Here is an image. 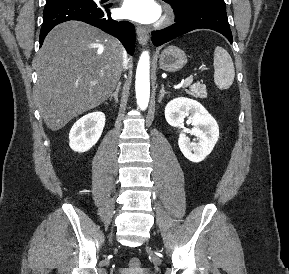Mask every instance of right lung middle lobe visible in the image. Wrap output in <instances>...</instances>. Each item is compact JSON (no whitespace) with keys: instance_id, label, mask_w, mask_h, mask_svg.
Here are the masks:
<instances>
[{"instance_id":"dd1d6c3e","label":"right lung middle lobe","mask_w":289,"mask_h":274,"mask_svg":"<svg viewBox=\"0 0 289 274\" xmlns=\"http://www.w3.org/2000/svg\"><path fill=\"white\" fill-rule=\"evenodd\" d=\"M66 1H80V0H47L46 5H52L56 3L66 2Z\"/></svg>"}]
</instances>
